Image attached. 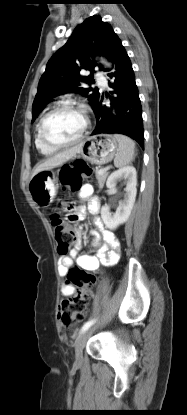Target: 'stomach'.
<instances>
[{
    "label": "stomach",
    "instance_id": "1",
    "mask_svg": "<svg viewBox=\"0 0 187 415\" xmlns=\"http://www.w3.org/2000/svg\"><path fill=\"white\" fill-rule=\"evenodd\" d=\"M117 150L118 143L114 136L99 134L89 137L82 143V149L77 158L82 157L91 164L104 165L113 160ZM56 183V175L51 169L41 171L31 177L28 189L34 202L39 206H46L52 202L56 194Z\"/></svg>",
    "mask_w": 187,
    "mask_h": 415
}]
</instances>
